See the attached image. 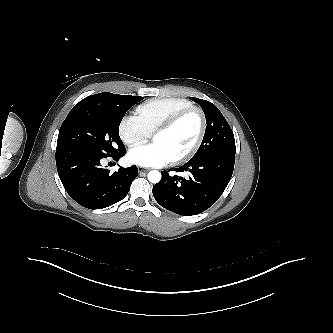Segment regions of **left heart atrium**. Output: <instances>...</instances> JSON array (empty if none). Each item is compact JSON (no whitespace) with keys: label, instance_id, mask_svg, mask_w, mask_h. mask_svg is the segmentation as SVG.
Segmentation results:
<instances>
[{"label":"left heart atrium","instance_id":"obj_1","mask_svg":"<svg viewBox=\"0 0 333 333\" xmlns=\"http://www.w3.org/2000/svg\"><path fill=\"white\" fill-rule=\"evenodd\" d=\"M127 160L131 164L143 167H161L172 159L161 144L153 143L131 149Z\"/></svg>","mask_w":333,"mask_h":333}]
</instances>
